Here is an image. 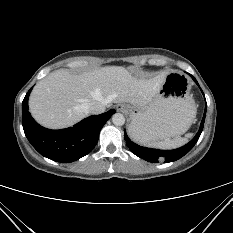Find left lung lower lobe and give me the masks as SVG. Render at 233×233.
Instances as JSON below:
<instances>
[{"mask_svg": "<svg viewBox=\"0 0 233 233\" xmlns=\"http://www.w3.org/2000/svg\"><path fill=\"white\" fill-rule=\"evenodd\" d=\"M192 78L197 83L195 78L194 77H192ZM206 107H205L203 119H202L201 124H200L199 131L197 132L196 136L189 143H187L186 145H184L178 149L158 150V149H151V148L142 147V146H139V145L135 144L134 142H132L129 139V137L127 136L126 132L124 131V138L126 140V144H127L128 148L131 150V152H133L136 156H138L144 160H147L148 162L158 163L159 161H165V162L176 161V160L180 159L181 157H183L185 154H187L193 148V146L196 144V142L198 141V139L201 135V132L203 130V126H204Z\"/></svg>", "mask_w": 233, "mask_h": 233, "instance_id": "1", "label": "left lung lower lobe"}]
</instances>
